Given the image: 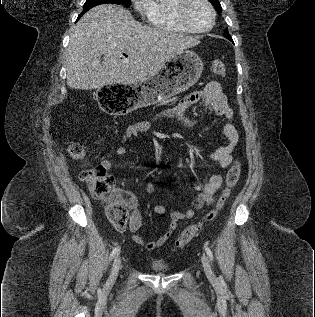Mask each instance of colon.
Listing matches in <instances>:
<instances>
[{
	"mask_svg": "<svg viewBox=\"0 0 315 317\" xmlns=\"http://www.w3.org/2000/svg\"><path fill=\"white\" fill-rule=\"evenodd\" d=\"M213 72L221 77H226L227 71L224 63L213 60L211 63ZM70 157L76 160L84 159L87 155L86 147L81 142H73L67 147ZM241 174V165L235 161L226 174L225 185L214 205V208L206 215L205 221L210 222L216 218L225 206L233 188L237 185ZM81 180L87 185L92 195L104 203L105 213L111 224L118 230L126 227L129 218V209L124 197L114 188V179L108 170L101 164L84 169L80 173ZM202 223L187 227L177 238L176 247H185L198 233Z\"/></svg>",
	"mask_w": 315,
	"mask_h": 317,
	"instance_id": "1",
	"label": "colon"
}]
</instances>
